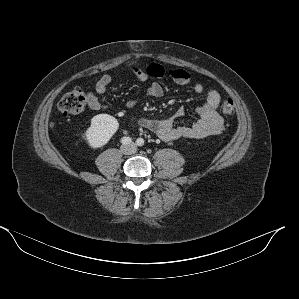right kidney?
Listing matches in <instances>:
<instances>
[{"label":"right kidney","mask_w":299,"mask_h":299,"mask_svg":"<svg viewBox=\"0 0 299 299\" xmlns=\"http://www.w3.org/2000/svg\"><path fill=\"white\" fill-rule=\"evenodd\" d=\"M119 128L116 118L108 114H98L91 119L85 136L90 147L97 149L108 143Z\"/></svg>","instance_id":"1"}]
</instances>
